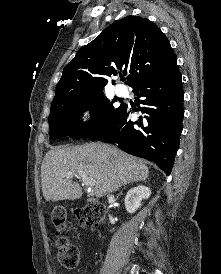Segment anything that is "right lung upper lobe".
<instances>
[{"label": "right lung upper lobe", "mask_w": 221, "mask_h": 274, "mask_svg": "<svg viewBox=\"0 0 221 274\" xmlns=\"http://www.w3.org/2000/svg\"><path fill=\"white\" fill-rule=\"evenodd\" d=\"M174 59L170 42L154 23L127 16L78 50L63 70L53 103L62 98L101 94L107 77L121 76V72L124 75L130 72L127 84L132 87Z\"/></svg>", "instance_id": "1"}]
</instances>
